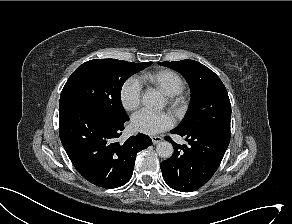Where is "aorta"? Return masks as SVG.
<instances>
[{
  "mask_svg": "<svg viewBox=\"0 0 292 224\" xmlns=\"http://www.w3.org/2000/svg\"><path fill=\"white\" fill-rule=\"evenodd\" d=\"M142 102L145 106L154 109H160L164 106L163 96L156 90L147 91L143 95ZM156 152L161 158H170L174 149L168 141H161L156 146Z\"/></svg>",
  "mask_w": 292,
  "mask_h": 224,
  "instance_id": "1",
  "label": "aorta"
}]
</instances>
